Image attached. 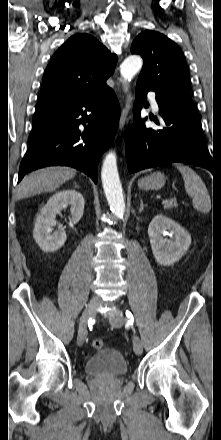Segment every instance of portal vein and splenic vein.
Returning a JSON list of instances; mask_svg holds the SVG:
<instances>
[{
	"label": "portal vein and splenic vein",
	"instance_id": "obj_1",
	"mask_svg": "<svg viewBox=\"0 0 221 440\" xmlns=\"http://www.w3.org/2000/svg\"><path fill=\"white\" fill-rule=\"evenodd\" d=\"M165 202H167V199H163V200H162V203H165Z\"/></svg>",
	"mask_w": 221,
	"mask_h": 440
}]
</instances>
